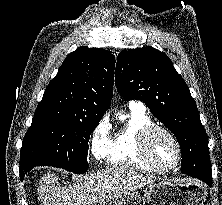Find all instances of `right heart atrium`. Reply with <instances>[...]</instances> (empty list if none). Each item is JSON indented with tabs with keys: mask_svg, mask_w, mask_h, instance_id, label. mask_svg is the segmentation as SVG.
<instances>
[{
	"mask_svg": "<svg viewBox=\"0 0 222 205\" xmlns=\"http://www.w3.org/2000/svg\"><path fill=\"white\" fill-rule=\"evenodd\" d=\"M110 144V132L108 123L101 121L93 131L91 138V151L95 158H103Z\"/></svg>",
	"mask_w": 222,
	"mask_h": 205,
	"instance_id": "d8ad5b80",
	"label": "right heart atrium"
}]
</instances>
